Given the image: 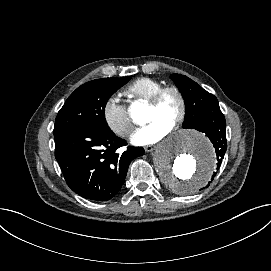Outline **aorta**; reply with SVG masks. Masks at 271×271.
<instances>
[{
    "mask_svg": "<svg viewBox=\"0 0 271 271\" xmlns=\"http://www.w3.org/2000/svg\"><path fill=\"white\" fill-rule=\"evenodd\" d=\"M131 117L137 123L145 122L143 107H134ZM153 163L172 192L187 195L197 192L208 182L216 166V156L204 135L183 130L157 146Z\"/></svg>",
    "mask_w": 271,
    "mask_h": 271,
    "instance_id": "obj_1",
    "label": "aorta"
}]
</instances>
